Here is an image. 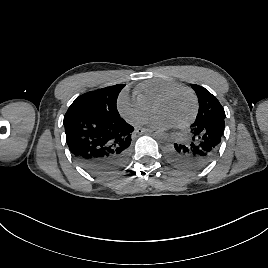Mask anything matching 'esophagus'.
<instances>
[{"mask_svg": "<svg viewBox=\"0 0 268 268\" xmlns=\"http://www.w3.org/2000/svg\"><path fill=\"white\" fill-rule=\"evenodd\" d=\"M136 132L140 135L145 134V133H152L153 130L150 129H145V128H137Z\"/></svg>", "mask_w": 268, "mask_h": 268, "instance_id": "esophagus-1", "label": "esophagus"}]
</instances>
